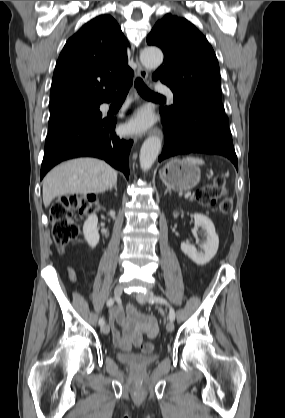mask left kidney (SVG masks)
I'll use <instances>...</instances> for the list:
<instances>
[{
  "mask_svg": "<svg viewBox=\"0 0 285 418\" xmlns=\"http://www.w3.org/2000/svg\"><path fill=\"white\" fill-rule=\"evenodd\" d=\"M177 216L178 213H174V217ZM193 217L195 226L201 227L204 230L206 241L200 246L201 251H197V249L188 242L181 243V250L196 264L204 265L216 255L219 246V238L216 234L215 226L209 217L200 213H195Z\"/></svg>",
  "mask_w": 285,
  "mask_h": 418,
  "instance_id": "5707ae66",
  "label": "left kidney"
}]
</instances>
